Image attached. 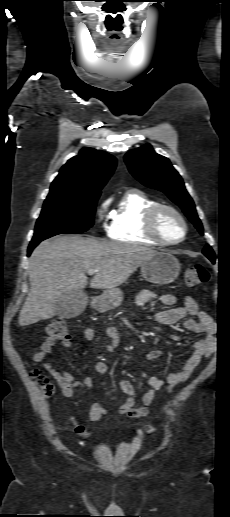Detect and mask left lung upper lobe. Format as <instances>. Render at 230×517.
Returning a JSON list of instances; mask_svg holds the SVG:
<instances>
[{"instance_id": "1", "label": "left lung upper lobe", "mask_w": 230, "mask_h": 517, "mask_svg": "<svg viewBox=\"0 0 230 517\" xmlns=\"http://www.w3.org/2000/svg\"><path fill=\"white\" fill-rule=\"evenodd\" d=\"M125 162L131 174L145 186L164 192L183 210L198 231L203 234V227L197 216L194 202L185 189L184 182L174 169L169 159L157 154L150 144H146L126 153ZM203 254L213 263L215 254L206 245Z\"/></svg>"}]
</instances>
